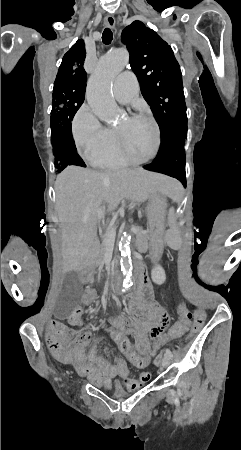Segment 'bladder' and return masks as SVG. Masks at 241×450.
<instances>
[{
  "instance_id": "bladder-1",
  "label": "bladder",
  "mask_w": 241,
  "mask_h": 450,
  "mask_svg": "<svg viewBox=\"0 0 241 450\" xmlns=\"http://www.w3.org/2000/svg\"><path fill=\"white\" fill-rule=\"evenodd\" d=\"M114 395L118 398H123L128 395V393L123 389H117L114 391Z\"/></svg>"
}]
</instances>
